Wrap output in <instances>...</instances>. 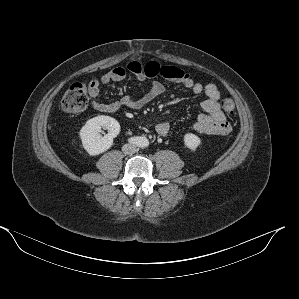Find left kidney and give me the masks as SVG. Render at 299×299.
Wrapping results in <instances>:
<instances>
[{
    "label": "left kidney",
    "mask_w": 299,
    "mask_h": 299,
    "mask_svg": "<svg viewBox=\"0 0 299 299\" xmlns=\"http://www.w3.org/2000/svg\"><path fill=\"white\" fill-rule=\"evenodd\" d=\"M201 140L200 138L193 134V133H187L184 135V144L187 148L194 151L196 148L200 145Z\"/></svg>",
    "instance_id": "1"
}]
</instances>
